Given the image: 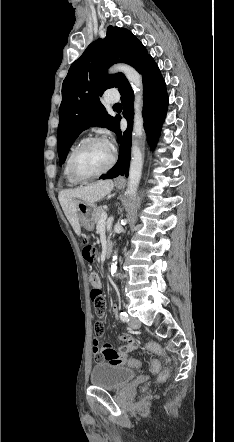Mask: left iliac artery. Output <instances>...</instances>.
I'll return each instance as SVG.
<instances>
[{
    "label": "left iliac artery",
    "mask_w": 234,
    "mask_h": 442,
    "mask_svg": "<svg viewBox=\"0 0 234 442\" xmlns=\"http://www.w3.org/2000/svg\"><path fill=\"white\" fill-rule=\"evenodd\" d=\"M120 319L122 320V321H129V318H128V314L126 313V312H121L120 313Z\"/></svg>",
    "instance_id": "1"
}]
</instances>
